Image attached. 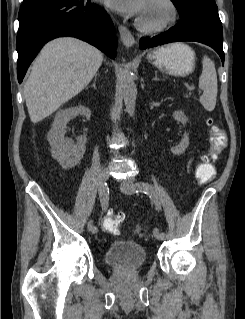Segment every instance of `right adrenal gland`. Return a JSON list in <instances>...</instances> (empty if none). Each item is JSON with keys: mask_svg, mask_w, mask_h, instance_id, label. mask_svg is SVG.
Listing matches in <instances>:
<instances>
[{"mask_svg": "<svg viewBox=\"0 0 245 319\" xmlns=\"http://www.w3.org/2000/svg\"><path fill=\"white\" fill-rule=\"evenodd\" d=\"M98 75H99V74H96V75H95L93 84L91 85V87H93L94 89H96V80H97V76H98Z\"/></svg>", "mask_w": 245, "mask_h": 319, "instance_id": "right-adrenal-gland-1", "label": "right adrenal gland"}]
</instances>
